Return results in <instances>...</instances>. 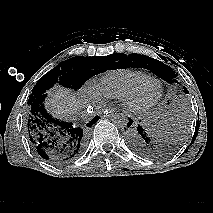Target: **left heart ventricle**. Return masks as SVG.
<instances>
[{"mask_svg": "<svg viewBox=\"0 0 213 213\" xmlns=\"http://www.w3.org/2000/svg\"><path fill=\"white\" fill-rule=\"evenodd\" d=\"M156 92H157V89H156V87H154V86H152V87H150V88L148 89V95H150V96L155 95Z\"/></svg>", "mask_w": 213, "mask_h": 213, "instance_id": "b2bd125f", "label": "left heart ventricle"}]
</instances>
